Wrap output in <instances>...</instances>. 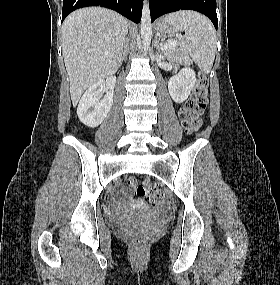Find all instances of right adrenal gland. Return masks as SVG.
Here are the masks:
<instances>
[{
  "label": "right adrenal gland",
  "mask_w": 280,
  "mask_h": 285,
  "mask_svg": "<svg viewBox=\"0 0 280 285\" xmlns=\"http://www.w3.org/2000/svg\"><path fill=\"white\" fill-rule=\"evenodd\" d=\"M128 48H129V40L127 41V43H126V46H125V49H124V52H123V56H122V60H121V64H122V62L125 60V58H126V55H127V53H128Z\"/></svg>",
  "instance_id": "obj_1"
}]
</instances>
